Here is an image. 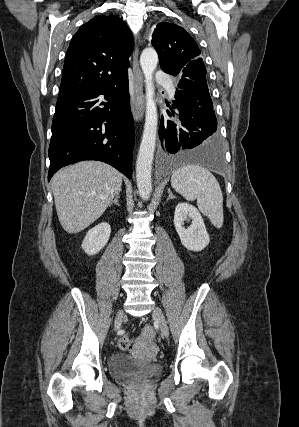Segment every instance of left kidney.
Listing matches in <instances>:
<instances>
[{
  "label": "left kidney",
  "mask_w": 299,
  "mask_h": 427,
  "mask_svg": "<svg viewBox=\"0 0 299 427\" xmlns=\"http://www.w3.org/2000/svg\"><path fill=\"white\" fill-rule=\"evenodd\" d=\"M192 220L189 228H185L184 221ZM175 229L180 237L182 245L190 251H201L209 244L203 218L197 208L188 203H179L174 213Z\"/></svg>",
  "instance_id": "1"
}]
</instances>
